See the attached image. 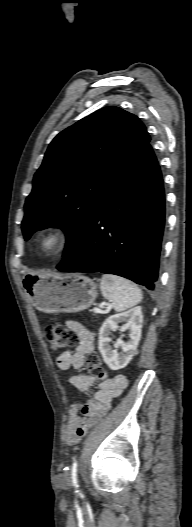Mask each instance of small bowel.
Listing matches in <instances>:
<instances>
[{
    "mask_svg": "<svg viewBox=\"0 0 192 527\" xmlns=\"http://www.w3.org/2000/svg\"><path fill=\"white\" fill-rule=\"evenodd\" d=\"M69 329L76 332L78 345L73 351H64L56 359V364L61 370H79L84 366L86 356L94 349V335L83 324L69 320L66 322ZM69 383L81 392H86L94 385V378L85 374L71 375ZM127 386V379L123 375H116L99 384L93 397L85 403H78L69 409V418L66 427V441L75 444L81 440L88 429L94 426L110 408L114 398L120 396Z\"/></svg>",
    "mask_w": 192,
    "mask_h": 527,
    "instance_id": "small-bowel-1",
    "label": "small bowel"
}]
</instances>
